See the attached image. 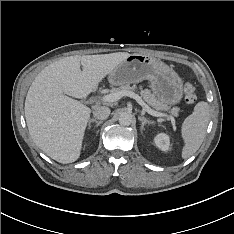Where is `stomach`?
<instances>
[{
    "instance_id": "1",
    "label": "stomach",
    "mask_w": 234,
    "mask_h": 234,
    "mask_svg": "<svg viewBox=\"0 0 234 234\" xmlns=\"http://www.w3.org/2000/svg\"><path fill=\"white\" fill-rule=\"evenodd\" d=\"M150 81V88L157 100L165 106L178 104L184 93L179 75L162 61L142 54H131L108 74L114 86Z\"/></svg>"
}]
</instances>
